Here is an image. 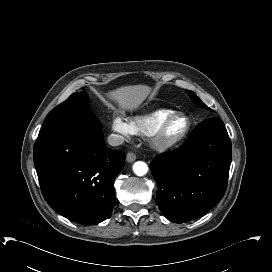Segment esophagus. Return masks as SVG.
<instances>
[{"mask_svg":"<svg viewBox=\"0 0 272 272\" xmlns=\"http://www.w3.org/2000/svg\"><path fill=\"white\" fill-rule=\"evenodd\" d=\"M127 162L131 163L136 160V155L132 152H128L126 155Z\"/></svg>","mask_w":272,"mask_h":272,"instance_id":"obj_1","label":"esophagus"}]
</instances>
